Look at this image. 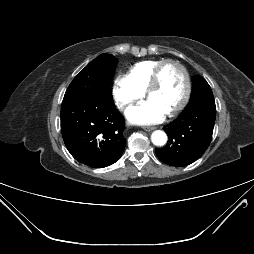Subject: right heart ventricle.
Here are the masks:
<instances>
[{"mask_svg":"<svg viewBox=\"0 0 254 254\" xmlns=\"http://www.w3.org/2000/svg\"><path fill=\"white\" fill-rule=\"evenodd\" d=\"M163 60H144L137 62L128 70L127 76L141 91L145 92L154 70Z\"/></svg>","mask_w":254,"mask_h":254,"instance_id":"e07e8e85","label":"right heart ventricle"}]
</instances>
